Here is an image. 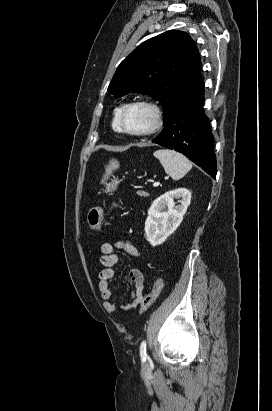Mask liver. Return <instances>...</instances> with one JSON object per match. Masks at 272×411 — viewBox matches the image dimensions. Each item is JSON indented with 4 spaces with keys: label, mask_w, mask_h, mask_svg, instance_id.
Masks as SVG:
<instances>
[{
    "label": "liver",
    "mask_w": 272,
    "mask_h": 411,
    "mask_svg": "<svg viewBox=\"0 0 272 411\" xmlns=\"http://www.w3.org/2000/svg\"><path fill=\"white\" fill-rule=\"evenodd\" d=\"M118 168H119V163H118V161L115 160V159H112V160L110 161L109 165H107L106 168H105L106 173H105V176H104L103 181H104L105 179H107L108 176H109L114 170H116V169H118Z\"/></svg>",
    "instance_id": "6515ba94"
}]
</instances>
